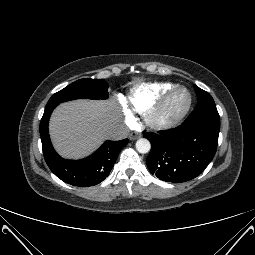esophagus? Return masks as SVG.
Returning <instances> with one entry per match:
<instances>
[{
    "label": "esophagus",
    "instance_id": "obj_1",
    "mask_svg": "<svg viewBox=\"0 0 255 255\" xmlns=\"http://www.w3.org/2000/svg\"><path fill=\"white\" fill-rule=\"evenodd\" d=\"M142 135L140 134V133H138V132H133V133H131L130 135H129V139L130 140H136V139H138V138H140Z\"/></svg>",
    "mask_w": 255,
    "mask_h": 255
}]
</instances>
